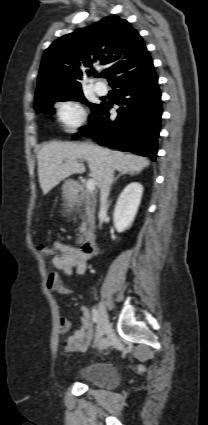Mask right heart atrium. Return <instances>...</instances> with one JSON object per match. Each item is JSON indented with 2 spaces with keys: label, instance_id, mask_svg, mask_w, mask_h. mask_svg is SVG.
I'll return each mask as SVG.
<instances>
[{
  "label": "right heart atrium",
  "instance_id": "right-heart-atrium-1",
  "mask_svg": "<svg viewBox=\"0 0 208 425\" xmlns=\"http://www.w3.org/2000/svg\"><path fill=\"white\" fill-rule=\"evenodd\" d=\"M59 121L68 130H75L86 121V113L81 105L74 101H64L57 109Z\"/></svg>",
  "mask_w": 208,
  "mask_h": 425
}]
</instances>
